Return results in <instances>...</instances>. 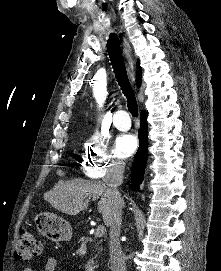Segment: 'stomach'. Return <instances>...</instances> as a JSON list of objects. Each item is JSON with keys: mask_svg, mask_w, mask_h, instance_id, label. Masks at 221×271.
Returning <instances> with one entry per match:
<instances>
[{"mask_svg": "<svg viewBox=\"0 0 221 271\" xmlns=\"http://www.w3.org/2000/svg\"><path fill=\"white\" fill-rule=\"evenodd\" d=\"M34 223L45 237L52 239V241H64V239H70L72 237V227L65 219H60L53 213H37L34 217Z\"/></svg>", "mask_w": 221, "mask_h": 271, "instance_id": "1", "label": "stomach"}]
</instances>
